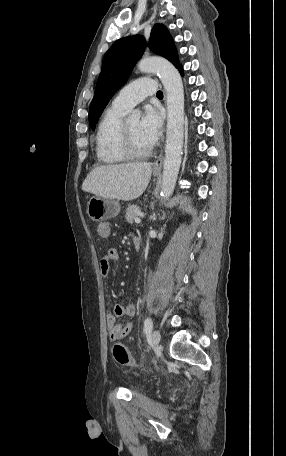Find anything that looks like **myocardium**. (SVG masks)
Masks as SVG:
<instances>
[{"instance_id":"1","label":"myocardium","mask_w":286,"mask_h":456,"mask_svg":"<svg viewBox=\"0 0 286 456\" xmlns=\"http://www.w3.org/2000/svg\"><path fill=\"white\" fill-rule=\"evenodd\" d=\"M120 143H121V149L123 154L127 159H133V160H138V159H143L149 156L153 149H154V144H152L148 149L142 152H137L133 148L132 140L127 128L126 123H122L121 130H120Z\"/></svg>"}]
</instances>
